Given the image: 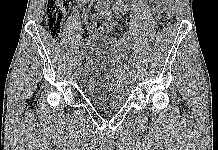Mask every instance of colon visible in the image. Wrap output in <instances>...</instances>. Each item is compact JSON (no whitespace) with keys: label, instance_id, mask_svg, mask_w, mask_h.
<instances>
[{"label":"colon","instance_id":"5ec220e1","mask_svg":"<svg viewBox=\"0 0 218 150\" xmlns=\"http://www.w3.org/2000/svg\"><path fill=\"white\" fill-rule=\"evenodd\" d=\"M70 0H47L46 20L50 34L59 36L62 30L64 17L69 9ZM171 21V12L167 7L161 8L156 15V27L160 30L166 28ZM96 30L102 33H109L112 27L104 22L96 23Z\"/></svg>","mask_w":218,"mask_h":150}]
</instances>
